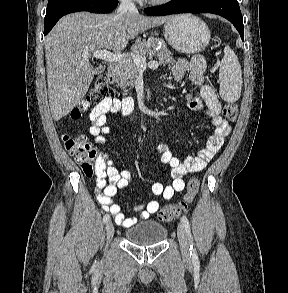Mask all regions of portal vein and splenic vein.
Masks as SVG:
<instances>
[{"instance_id": "1", "label": "portal vein and splenic vein", "mask_w": 288, "mask_h": 293, "mask_svg": "<svg viewBox=\"0 0 288 293\" xmlns=\"http://www.w3.org/2000/svg\"><path fill=\"white\" fill-rule=\"evenodd\" d=\"M92 55L93 57L97 59H101L107 62H120L126 57L125 55L121 53H111L107 51L106 49L95 51L92 53ZM82 56L84 58H87L89 56V53L85 52L82 54ZM132 59L139 69H146L147 66L150 68H157L159 65L157 61H150L147 64L146 58L138 54L132 55Z\"/></svg>"}]
</instances>
